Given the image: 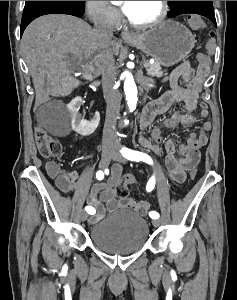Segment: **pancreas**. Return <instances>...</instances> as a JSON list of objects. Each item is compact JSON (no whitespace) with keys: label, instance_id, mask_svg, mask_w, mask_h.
I'll return each instance as SVG.
<instances>
[{"label":"pancreas","instance_id":"cf45deb5","mask_svg":"<svg viewBox=\"0 0 237 300\" xmlns=\"http://www.w3.org/2000/svg\"><path fill=\"white\" fill-rule=\"evenodd\" d=\"M150 67L146 69L147 75H150V77H161L163 75L162 67H160V63H148ZM145 66V65H144Z\"/></svg>","mask_w":237,"mask_h":300}]
</instances>
